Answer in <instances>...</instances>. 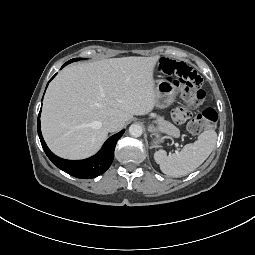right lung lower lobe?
<instances>
[{"label": "right lung lower lobe", "mask_w": 255, "mask_h": 255, "mask_svg": "<svg viewBox=\"0 0 255 255\" xmlns=\"http://www.w3.org/2000/svg\"><path fill=\"white\" fill-rule=\"evenodd\" d=\"M73 62L70 60L66 62L64 66ZM41 112V110H40ZM125 130L111 136L102 146L101 150L94 156L85 160H65L54 155L47 147L43 140L41 129H40V113L38 116V135L41 141V145L54 165L63 170L64 172L81 179H90L97 177L104 173L111 165L114 158V149L117 141L123 135Z\"/></svg>", "instance_id": "1"}]
</instances>
